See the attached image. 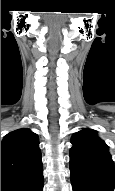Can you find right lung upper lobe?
<instances>
[{
  "instance_id": "1",
  "label": "right lung upper lobe",
  "mask_w": 115,
  "mask_h": 191,
  "mask_svg": "<svg viewBox=\"0 0 115 191\" xmlns=\"http://www.w3.org/2000/svg\"><path fill=\"white\" fill-rule=\"evenodd\" d=\"M37 134L30 129H18L1 142V178L25 176L42 169Z\"/></svg>"
}]
</instances>
